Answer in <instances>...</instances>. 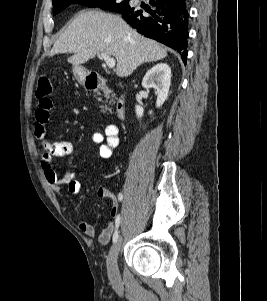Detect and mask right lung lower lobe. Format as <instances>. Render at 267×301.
Returning <instances> with one entry per match:
<instances>
[{
    "label": "right lung lower lobe",
    "mask_w": 267,
    "mask_h": 301,
    "mask_svg": "<svg viewBox=\"0 0 267 301\" xmlns=\"http://www.w3.org/2000/svg\"><path fill=\"white\" fill-rule=\"evenodd\" d=\"M149 4L151 7L142 8L130 5L118 13L139 33L177 50L186 64L187 0H150Z\"/></svg>",
    "instance_id": "1"
}]
</instances>
